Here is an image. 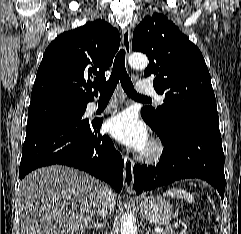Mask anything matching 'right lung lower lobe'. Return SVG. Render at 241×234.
I'll use <instances>...</instances> for the list:
<instances>
[{
  "label": "right lung lower lobe",
  "instance_id": "obj_1",
  "mask_svg": "<svg viewBox=\"0 0 241 234\" xmlns=\"http://www.w3.org/2000/svg\"><path fill=\"white\" fill-rule=\"evenodd\" d=\"M83 114L28 121L20 179L39 167L61 164L84 170L121 191L122 156L111 139L99 132L103 118L89 121Z\"/></svg>",
  "mask_w": 241,
  "mask_h": 234
}]
</instances>
